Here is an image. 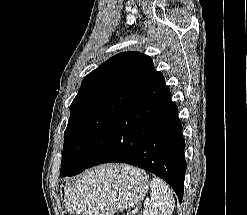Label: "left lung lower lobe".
I'll list each match as a JSON object with an SVG mask.
<instances>
[{
  "mask_svg": "<svg viewBox=\"0 0 247 215\" xmlns=\"http://www.w3.org/2000/svg\"><path fill=\"white\" fill-rule=\"evenodd\" d=\"M184 148L178 108L162 73L156 72L108 132L84 143L75 162L60 174L74 176L103 163H127L164 179L181 202L187 168Z\"/></svg>",
  "mask_w": 247,
  "mask_h": 215,
  "instance_id": "1",
  "label": "left lung lower lobe"
}]
</instances>
